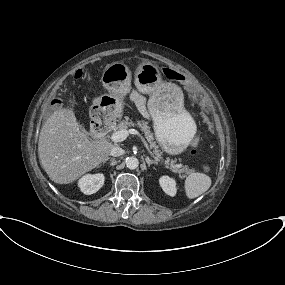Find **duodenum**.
<instances>
[{"instance_id":"410a0bca","label":"duodenum","mask_w":285,"mask_h":285,"mask_svg":"<svg viewBox=\"0 0 285 285\" xmlns=\"http://www.w3.org/2000/svg\"><path fill=\"white\" fill-rule=\"evenodd\" d=\"M106 130H107V125H101V126L99 127V130H98V132L96 133V135H100V134L104 133Z\"/></svg>"}]
</instances>
